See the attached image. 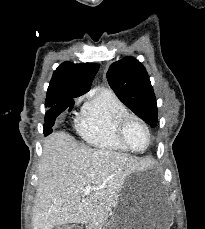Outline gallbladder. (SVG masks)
I'll return each mask as SVG.
<instances>
[{"mask_svg": "<svg viewBox=\"0 0 205 229\" xmlns=\"http://www.w3.org/2000/svg\"><path fill=\"white\" fill-rule=\"evenodd\" d=\"M53 229H69V228L66 224H64V225H57Z\"/></svg>", "mask_w": 205, "mask_h": 229, "instance_id": "obj_1", "label": "gallbladder"}]
</instances>
